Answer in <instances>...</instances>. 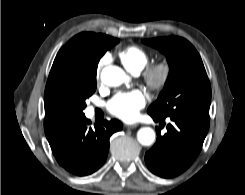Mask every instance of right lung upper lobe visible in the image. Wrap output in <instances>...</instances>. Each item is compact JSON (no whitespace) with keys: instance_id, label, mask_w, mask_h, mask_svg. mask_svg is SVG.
<instances>
[{"instance_id":"cb5924a9","label":"right lung upper lobe","mask_w":245,"mask_h":195,"mask_svg":"<svg viewBox=\"0 0 245 195\" xmlns=\"http://www.w3.org/2000/svg\"><path fill=\"white\" fill-rule=\"evenodd\" d=\"M113 37L105 34L83 32L74 36L58 52L45 88L44 130L49 142L62 136L81 117L64 100L58 89V73L69 54L76 51L94 52Z\"/></svg>"}]
</instances>
